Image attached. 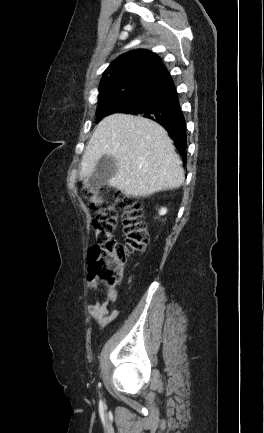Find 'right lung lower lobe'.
<instances>
[{
    "mask_svg": "<svg viewBox=\"0 0 264 433\" xmlns=\"http://www.w3.org/2000/svg\"><path fill=\"white\" fill-rule=\"evenodd\" d=\"M126 113L139 114L162 125L175 141L180 154L186 156V122L175 85L164 66L141 86Z\"/></svg>",
    "mask_w": 264,
    "mask_h": 433,
    "instance_id": "right-lung-lower-lobe-1",
    "label": "right lung lower lobe"
}]
</instances>
